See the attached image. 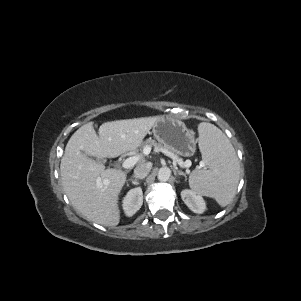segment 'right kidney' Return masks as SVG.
<instances>
[{"instance_id": "right-kidney-1", "label": "right kidney", "mask_w": 301, "mask_h": 301, "mask_svg": "<svg viewBox=\"0 0 301 301\" xmlns=\"http://www.w3.org/2000/svg\"><path fill=\"white\" fill-rule=\"evenodd\" d=\"M143 204V192L140 187L131 189L123 198L122 206L127 216H133Z\"/></svg>"}]
</instances>
